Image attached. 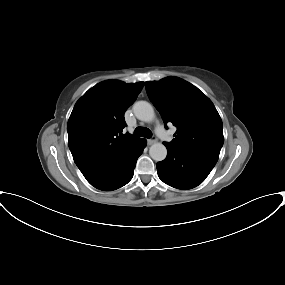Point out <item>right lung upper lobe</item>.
Listing matches in <instances>:
<instances>
[{"mask_svg": "<svg viewBox=\"0 0 285 285\" xmlns=\"http://www.w3.org/2000/svg\"><path fill=\"white\" fill-rule=\"evenodd\" d=\"M143 85L103 81L76 102L67 124L68 145L83 174L140 139L125 137L121 132L126 126L124 113Z\"/></svg>", "mask_w": 285, "mask_h": 285, "instance_id": "1", "label": "right lung upper lobe"}]
</instances>
